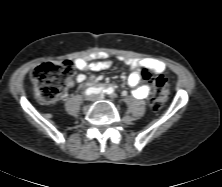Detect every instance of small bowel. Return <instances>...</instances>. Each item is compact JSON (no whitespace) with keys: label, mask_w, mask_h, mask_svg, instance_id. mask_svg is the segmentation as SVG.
I'll list each match as a JSON object with an SVG mask.
<instances>
[{"label":"small bowel","mask_w":222,"mask_h":187,"mask_svg":"<svg viewBox=\"0 0 222 187\" xmlns=\"http://www.w3.org/2000/svg\"><path fill=\"white\" fill-rule=\"evenodd\" d=\"M98 59L96 62H91L90 58H78L75 60V67L81 71H99L111 67L112 62L107 59L105 53H98L94 56ZM130 69L131 73L128 78V84L132 88L133 95L138 99H146L151 93V86L140 84L141 72L143 69H149L156 73H164L166 66L163 62L155 59H133L120 58ZM78 83H84L86 76L78 74L76 77Z\"/></svg>","instance_id":"c3829d8e"}]
</instances>
